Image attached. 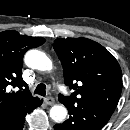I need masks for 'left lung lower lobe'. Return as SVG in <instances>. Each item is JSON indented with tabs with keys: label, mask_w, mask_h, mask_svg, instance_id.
Listing matches in <instances>:
<instances>
[{
	"label": "left lung lower lobe",
	"mask_w": 130,
	"mask_h": 130,
	"mask_svg": "<svg viewBox=\"0 0 130 130\" xmlns=\"http://www.w3.org/2000/svg\"><path fill=\"white\" fill-rule=\"evenodd\" d=\"M66 106L69 118L54 125V130H101L112 114L94 104L59 99Z\"/></svg>",
	"instance_id": "1"
}]
</instances>
